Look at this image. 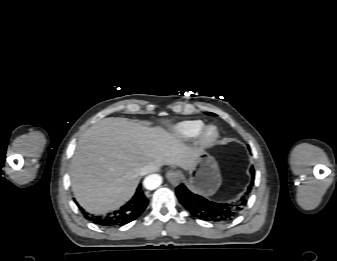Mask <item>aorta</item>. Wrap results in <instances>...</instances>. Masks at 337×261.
I'll list each match as a JSON object with an SVG mask.
<instances>
[{"label":"aorta","instance_id":"aorta-1","mask_svg":"<svg viewBox=\"0 0 337 261\" xmlns=\"http://www.w3.org/2000/svg\"><path fill=\"white\" fill-rule=\"evenodd\" d=\"M162 184V177L159 174L148 175L144 181L143 185L148 190H154Z\"/></svg>","mask_w":337,"mask_h":261}]
</instances>
